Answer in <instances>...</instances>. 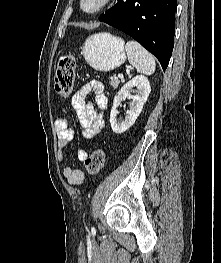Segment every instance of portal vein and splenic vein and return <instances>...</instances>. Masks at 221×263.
<instances>
[{"label": "portal vein and splenic vein", "mask_w": 221, "mask_h": 263, "mask_svg": "<svg viewBox=\"0 0 221 263\" xmlns=\"http://www.w3.org/2000/svg\"><path fill=\"white\" fill-rule=\"evenodd\" d=\"M118 78L123 79L124 78L123 74L119 73Z\"/></svg>", "instance_id": "18ae733b"}]
</instances>
